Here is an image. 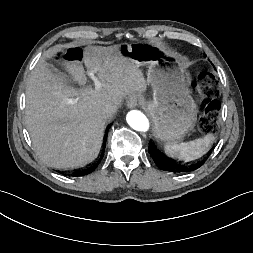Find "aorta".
I'll list each match as a JSON object with an SVG mask.
<instances>
[{"label": "aorta", "instance_id": "762f6f07", "mask_svg": "<svg viewBox=\"0 0 253 253\" xmlns=\"http://www.w3.org/2000/svg\"><path fill=\"white\" fill-rule=\"evenodd\" d=\"M126 120L129 126L136 131L146 132L149 129V121L141 111L132 110L128 112Z\"/></svg>", "mask_w": 253, "mask_h": 253}]
</instances>
